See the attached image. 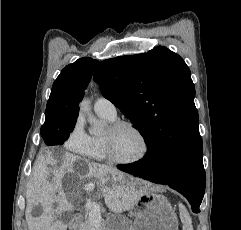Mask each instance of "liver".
Here are the masks:
<instances>
[{
  "label": "liver",
  "instance_id": "obj_1",
  "mask_svg": "<svg viewBox=\"0 0 241 230\" xmlns=\"http://www.w3.org/2000/svg\"><path fill=\"white\" fill-rule=\"evenodd\" d=\"M80 160L82 159L79 156L69 152H65L61 159L50 154L42 156L39 169L30 179L26 191L25 217L28 230H66L67 225L56 220L55 214L73 211L74 206L68 199L77 195L80 189L90 190V186L93 189L95 183L101 187L106 206L114 213L131 209L138 201L142 192V185L138 181H128L117 169L88 161H85L86 170L82 175L75 165ZM46 164H50L52 168H48ZM50 175L52 180L49 182ZM71 176H76L79 181L73 192H65L64 179ZM110 176L113 177L111 182ZM54 203H58L56 209ZM39 204L42 213L35 217L32 211L34 206Z\"/></svg>",
  "mask_w": 241,
  "mask_h": 230
}]
</instances>
